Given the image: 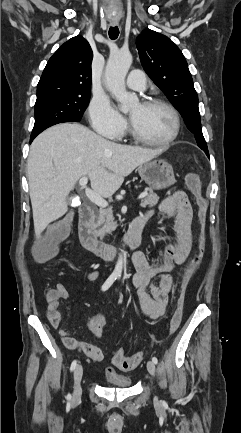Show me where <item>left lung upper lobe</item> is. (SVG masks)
I'll list each match as a JSON object with an SVG mask.
<instances>
[{
	"instance_id": "left-lung-upper-lobe-1",
	"label": "left lung upper lobe",
	"mask_w": 241,
	"mask_h": 433,
	"mask_svg": "<svg viewBox=\"0 0 241 433\" xmlns=\"http://www.w3.org/2000/svg\"><path fill=\"white\" fill-rule=\"evenodd\" d=\"M136 46L146 73L180 110L198 146L208 151L201 129L198 96L181 50L168 37L150 29L137 37Z\"/></svg>"
}]
</instances>
